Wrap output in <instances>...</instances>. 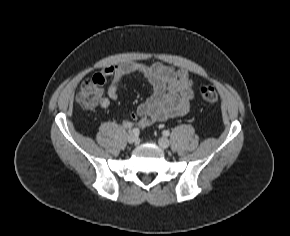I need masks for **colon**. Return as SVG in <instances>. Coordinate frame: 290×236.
Wrapping results in <instances>:
<instances>
[{
    "label": "colon",
    "mask_w": 290,
    "mask_h": 236,
    "mask_svg": "<svg viewBox=\"0 0 290 236\" xmlns=\"http://www.w3.org/2000/svg\"><path fill=\"white\" fill-rule=\"evenodd\" d=\"M103 83V80L95 77L84 80L77 92L78 102L89 109L96 107L101 96ZM199 94L201 99L206 103H215L218 100L216 89L210 85L201 86Z\"/></svg>",
    "instance_id": "5ec220e1"
}]
</instances>
